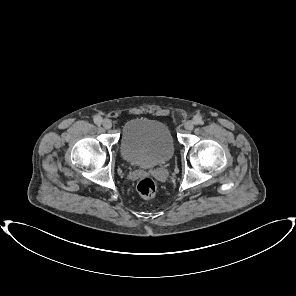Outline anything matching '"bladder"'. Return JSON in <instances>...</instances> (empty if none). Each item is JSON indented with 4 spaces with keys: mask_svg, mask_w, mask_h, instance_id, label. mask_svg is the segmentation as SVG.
<instances>
[{
    "mask_svg": "<svg viewBox=\"0 0 296 296\" xmlns=\"http://www.w3.org/2000/svg\"><path fill=\"white\" fill-rule=\"evenodd\" d=\"M120 153L128 163L144 168L168 162L174 153L169 127L153 119L129 120L122 129Z\"/></svg>",
    "mask_w": 296,
    "mask_h": 296,
    "instance_id": "31cf9c89",
    "label": "bladder"
}]
</instances>
